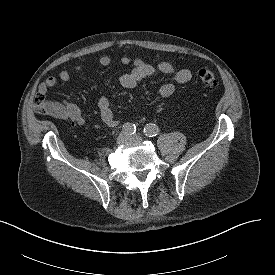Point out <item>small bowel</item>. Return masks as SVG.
<instances>
[{
	"mask_svg": "<svg viewBox=\"0 0 275 275\" xmlns=\"http://www.w3.org/2000/svg\"><path fill=\"white\" fill-rule=\"evenodd\" d=\"M121 62L124 65L131 63V59L128 56H123ZM101 66H108L111 63V58L109 56H102L99 60ZM132 69L124 73L119 78V83L125 88H133L143 79L150 77L156 72H159L165 76H168L172 81L164 82L159 88V94L162 97H169L175 92V83L186 84L192 78V73L187 69H177L173 64L166 61H153L152 63H147L144 60L137 58L132 61ZM83 69L82 64H78L73 68L64 69L59 73V79L61 81L70 80L73 75L80 72ZM57 78L54 76H49L46 80L39 86V91L41 93H46L49 88L56 85ZM98 109L102 122L108 127H116L118 124L115 118L111 104L106 95H100L98 97ZM48 114L51 116L70 121L73 125H82L85 122L84 116L80 108L70 102H52L50 103V108Z\"/></svg>",
	"mask_w": 275,
	"mask_h": 275,
	"instance_id": "1",
	"label": "small bowel"
}]
</instances>
